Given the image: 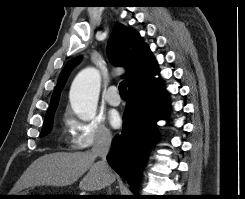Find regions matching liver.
I'll return each mask as SVG.
<instances>
[{
  "label": "liver",
  "instance_id": "1",
  "mask_svg": "<svg viewBox=\"0 0 245 199\" xmlns=\"http://www.w3.org/2000/svg\"><path fill=\"white\" fill-rule=\"evenodd\" d=\"M95 159L91 151L46 154L29 166L18 181L16 190L33 186H68L85 173L79 188L84 191L101 190L115 181V175L110 170L105 176Z\"/></svg>",
  "mask_w": 245,
  "mask_h": 199
}]
</instances>
